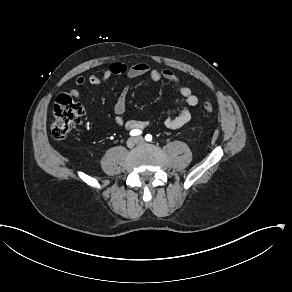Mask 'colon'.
Wrapping results in <instances>:
<instances>
[{"instance_id":"1","label":"colon","mask_w":292,"mask_h":292,"mask_svg":"<svg viewBox=\"0 0 292 292\" xmlns=\"http://www.w3.org/2000/svg\"><path fill=\"white\" fill-rule=\"evenodd\" d=\"M213 108V102L210 98L203 100L202 109L205 113H211ZM84 114L83 105L69 93L59 94L53 107L52 137L56 140H63L71 128L82 121Z\"/></svg>"}]
</instances>
